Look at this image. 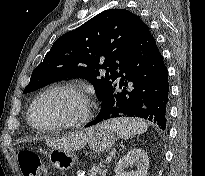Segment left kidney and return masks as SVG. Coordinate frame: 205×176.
I'll return each instance as SVG.
<instances>
[{
    "instance_id": "1",
    "label": "left kidney",
    "mask_w": 205,
    "mask_h": 176,
    "mask_svg": "<svg viewBox=\"0 0 205 176\" xmlns=\"http://www.w3.org/2000/svg\"><path fill=\"white\" fill-rule=\"evenodd\" d=\"M133 166L136 169L126 173V169ZM148 168L149 158L147 153L140 148H134L119 160L115 168V176H146Z\"/></svg>"
}]
</instances>
